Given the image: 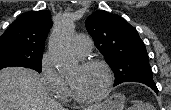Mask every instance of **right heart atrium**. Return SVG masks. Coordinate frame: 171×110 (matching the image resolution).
Masks as SVG:
<instances>
[{
  "instance_id": "obj_1",
  "label": "right heart atrium",
  "mask_w": 171,
  "mask_h": 110,
  "mask_svg": "<svg viewBox=\"0 0 171 110\" xmlns=\"http://www.w3.org/2000/svg\"><path fill=\"white\" fill-rule=\"evenodd\" d=\"M39 74L49 93L60 99L64 94L66 82L54 67L48 53L41 57Z\"/></svg>"
}]
</instances>
